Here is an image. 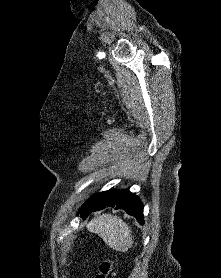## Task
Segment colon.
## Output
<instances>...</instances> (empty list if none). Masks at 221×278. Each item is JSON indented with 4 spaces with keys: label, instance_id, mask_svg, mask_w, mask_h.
Listing matches in <instances>:
<instances>
[{
    "label": "colon",
    "instance_id": "obj_1",
    "mask_svg": "<svg viewBox=\"0 0 221 278\" xmlns=\"http://www.w3.org/2000/svg\"><path fill=\"white\" fill-rule=\"evenodd\" d=\"M115 275L114 262L112 260H104L100 263L94 278H114Z\"/></svg>",
    "mask_w": 221,
    "mask_h": 278
}]
</instances>
